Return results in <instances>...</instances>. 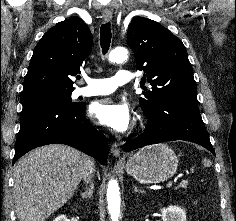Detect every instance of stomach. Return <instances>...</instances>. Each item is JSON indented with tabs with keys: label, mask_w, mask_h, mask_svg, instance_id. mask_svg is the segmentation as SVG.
Listing matches in <instances>:
<instances>
[{
	"label": "stomach",
	"mask_w": 236,
	"mask_h": 221,
	"mask_svg": "<svg viewBox=\"0 0 236 221\" xmlns=\"http://www.w3.org/2000/svg\"><path fill=\"white\" fill-rule=\"evenodd\" d=\"M175 152L166 144H153L131 155L126 172L140 183H161L171 178L178 168Z\"/></svg>",
	"instance_id": "obj_1"
}]
</instances>
